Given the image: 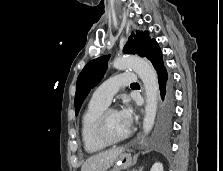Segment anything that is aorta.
<instances>
[{
    "label": "aorta",
    "mask_w": 223,
    "mask_h": 171,
    "mask_svg": "<svg viewBox=\"0 0 223 171\" xmlns=\"http://www.w3.org/2000/svg\"><path fill=\"white\" fill-rule=\"evenodd\" d=\"M113 67L117 70L133 69L142 80L146 93L143 131L145 135H148L155 122L159 95L158 77L154 67L147 60L137 56L116 58L113 62Z\"/></svg>",
    "instance_id": "obj_1"
}]
</instances>
